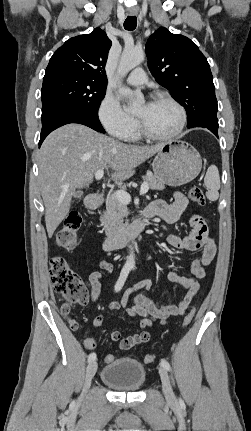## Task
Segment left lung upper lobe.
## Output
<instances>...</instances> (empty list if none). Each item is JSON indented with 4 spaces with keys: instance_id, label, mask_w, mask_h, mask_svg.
Instances as JSON below:
<instances>
[{
    "instance_id": "5c2ea615",
    "label": "left lung upper lobe",
    "mask_w": 251,
    "mask_h": 431,
    "mask_svg": "<svg viewBox=\"0 0 251 431\" xmlns=\"http://www.w3.org/2000/svg\"><path fill=\"white\" fill-rule=\"evenodd\" d=\"M145 50L155 80L184 106L187 127L218 126L213 76L197 45L160 27L149 37Z\"/></svg>"
}]
</instances>
